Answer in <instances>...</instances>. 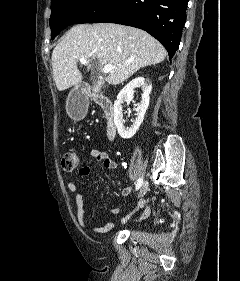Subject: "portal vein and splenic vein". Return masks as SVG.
<instances>
[{
    "label": "portal vein and splenic vein",
    "instance_id": "obj_1",
    "mask_svg": "<svg viewBox=\"0 0 240 281\" xmlns=\"http://www.w3.org/2000/svg\"><path fill=\"white\" fill-rule=\"evenodd\" d=\"M79 60H80V62L82 64H87L88 63V57L87 56H81ZM113 69H115L114 66H112V65H105L104 68H103V72L104 73H110Z\"/></svg>",
    "mask_w": 240,
    "mask_h": 281
}]
</instances>
